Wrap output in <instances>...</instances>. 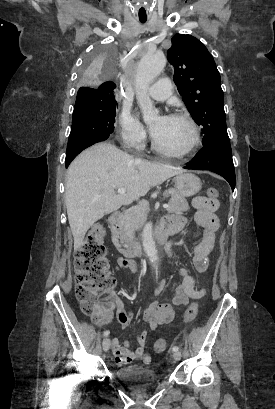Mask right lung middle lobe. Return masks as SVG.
<instances>
[{
    "instance_id": "obj_1",
    "label": "right lung middle lobe",
    "mask_w": 275,
    "mask_h": 409,
    "mask_svg": "<svg viewBox=\"0 0 275 409\" xmlns=\"http://www.w3.org/2000/svg\"><path fill=\"white\" fill-rule=\"evenodd\" d=\"M98 50H88L86 64L80 71L79 90H99L102 79H111L120 58L119 50H109V42H98ZM117 96L77 94L66 152V167L87 147L104 141L114 130Z\"/></svg>"
}]
</instances>
